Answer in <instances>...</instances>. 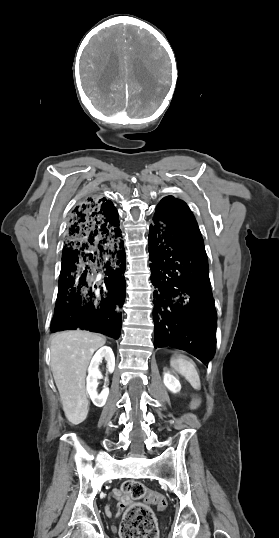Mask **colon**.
I'll return each mask as SVG.
<instances>
[{
	"instance_id": "5ec220e1",
	"label": "colon",
	"mask_w": 279,
	"mask_h": 538,
	"mask_svg": "<svg viewBox=\"0 0 279 538\" xmlns=\"http://www.w3.org/2000/svg\"><path fill=\"white\" fill-rule=\"evenodd\" d=\"M122 490L134 500H144L156 505L160 511L167 506V499L163 494L147 490L140 482H126ZM120 535L121 538H156V523L150 509L143 505H133L121 524Z\"/></svg>"
}]
</instances>
